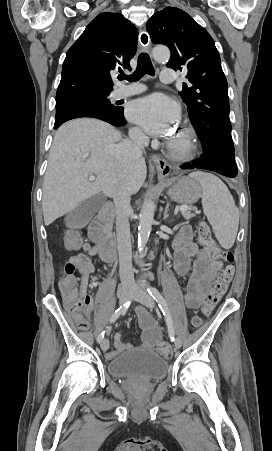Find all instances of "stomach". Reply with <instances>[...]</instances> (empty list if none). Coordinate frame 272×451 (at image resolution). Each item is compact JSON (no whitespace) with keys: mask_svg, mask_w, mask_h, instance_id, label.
Masks as SVG:
<instances>
[{"mask_svg":"<svg viewBox=\"0 0 272 451\" xmlns=\"http://www.w3.org/2000/svg\"><path fill=\"white\" fill-rule=\"evenodd\" d=\"M159 180L165 182L163 176H159ZM169 198L178 202V204H196L202 196V188L196 180L182 176L175 180V184L169 188L167 192Z\"/></svg>","mask_w":272,"mask_h":451,"instance_id":"obj_1","label":"stomach"}]
</instances>
